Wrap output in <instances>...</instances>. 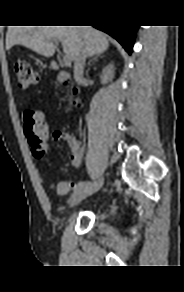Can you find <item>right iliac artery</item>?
Returning <instances> with one entry per match:
<instances>
[{
    "mask_svg": "<svg viewBox=\"0 0 184 292\" xmlns=\"http://www.w3.org/2000/svg\"><path fill=\"white\" fill-rule=\"evenodd\" d=\"M90 185H92L91 182H80V183H78V185L75 187V191H77V190H79V189H83V188L88 187V186H90Z\"/></svg>",
    "mask_w": 184,
    "mask_h": 292,
    "instance_id": "1",
    "label": "right iliac artery"
}]
</instances>
